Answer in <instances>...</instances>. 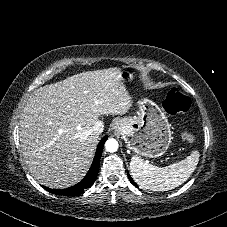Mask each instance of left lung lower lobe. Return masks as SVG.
I'll use <instances>...</instances> for the list:
<instances>
[{
  "label": "left lung lower lobe",
  "instance_id": "0a47b994",
  "mask_svg": "<svg viewBox=\"0 0 227 227\" xmlns=\"http://www.w3.org/2000/svg\"><path fill=\"white\" fill-rule=\"evenodd\" d=\"M128 178H129L130 182H131L134 186H136V187H137V184L133 181V179L130 177V175H129V174H128Z\"/></svg>",
  "mask_w": 227,
  "mask_h": 227
}]
</instances>
